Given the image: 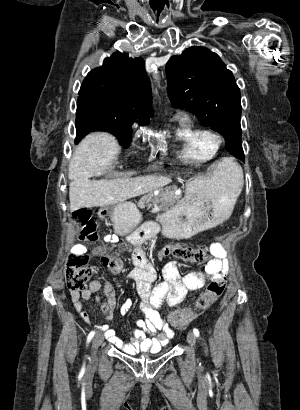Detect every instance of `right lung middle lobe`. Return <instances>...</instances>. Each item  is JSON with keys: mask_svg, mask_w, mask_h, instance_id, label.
<instances>
[{"mask_svg": "<svg viewBox=\"0 0 300 410\" xmlns=\"http://www.w3.org/2000/svg\"><path fill=\"white\" fill-rule=\"evenodd\" d=\"M76 111V139L79 140L91 131H108L120 143L131 139V124L109 115L101 96L92 91L80 90ZM147 123V122H146ZM146 123H140L145 125Z\"/></svg>", "mask_w": 300, "mask_h": 410, "instance_id": "obj_1", "label": "right lung middle lobe"}]
</instances>
